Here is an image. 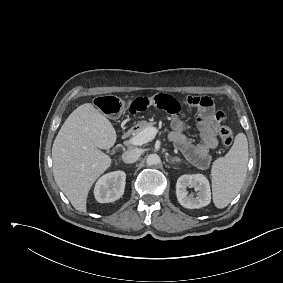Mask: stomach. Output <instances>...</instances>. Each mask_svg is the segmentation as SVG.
I'll return each instance as SVG.
<instances>
[{
	"label": "stomach",
	"instance_id": "0dacf381",
	"mask_svg": "<svg viewBox=\"0 0 283 283\" xmlns=\"http://www.w3.org/2000/svg\"><path fill=\"white\" fill-rule=\"evenodd\" d=\"M144 123V121H141V122H139L138 124H137V126H140L141 124H143Z\"/></svg>",
	"mask_w": 283,
	"mask_h": 283
}]
</instances>
